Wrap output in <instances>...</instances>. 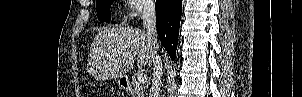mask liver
Segmentation results:
<instances>
[{
    "label": "liver",
    "mask_w": 302,
    "mask_h": 97,
    "mask_svg": "<svg viewBox=\"0 0 302 97\" xmlns=\"http://www.w3.org/2000/svg\"><path fill=\"white\" fill-rule=\"evenodd\" d=\"M151 66L155 48L142 29L113 27L100 31L94 38L88 58L89 73L99 78L123 77L134 67Z\"/></svg>",
    "instance_id": "6515ba94"
}]
</instances>
